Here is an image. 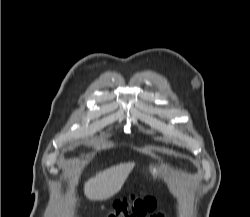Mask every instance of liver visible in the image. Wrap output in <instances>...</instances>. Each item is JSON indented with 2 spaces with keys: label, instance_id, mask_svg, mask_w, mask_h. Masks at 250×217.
Here are the masks:
<instances>
[{
  "label": "liver",
  "instance_id": "obj_1",
  "mask_svg": "<svg viewBox=\"0 0 250 217\" xmlns=\"http://www.w3.org/2000/svg\"><path fill=\"white\" fill-rule=\"evenodd\" d=\"M134 167L128 162L110 167L90 178L84 185V194L89 200H107L117 194Z\"/></svg>",
  "mask_w": 250,
  "mask_h": 217
}]
</instances>
